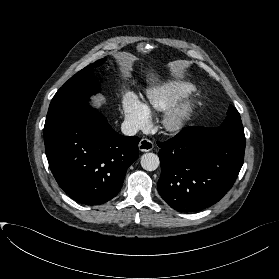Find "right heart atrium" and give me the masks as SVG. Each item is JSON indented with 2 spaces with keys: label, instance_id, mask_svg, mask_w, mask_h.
I'll return each mask as SVG.
<instances>
[{
  "label": "right heart atrium",
  "instance_id": "obj_1",
  "mask_svg": "<svg viewBox=\"0 0 279 279\" xmlns=\"http://www.w3.org/2000/svg\"><path fill=\"white\" fill-rule=\"evenodd\" d=\"M125 122L131 131L144 130L150 121L147 106L132 92H127L122 101Z\"/></svg>",
  "mask_w": 279,
  "mask_h": 279
}]
</instances>
